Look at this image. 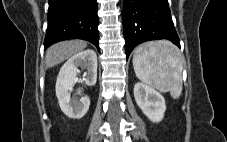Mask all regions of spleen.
<instances>
[{
  "label": "spleen",
  "mask_w": 227,
  "mask_h": 142,
  "mask_svg": "<svg viewBox=\"0 0 227 142\" xmlns=\"http://www.w3.org/2000/svg\"><path fill=\"white\" fill-rule=\"evenodd\" d=\"M135 74L143 83L161 92L180 97L183 59L180 50L166 40L139 45L133 55Z\"/></svg>",
  "instance_id": "obj_1"
}]
</instances>
